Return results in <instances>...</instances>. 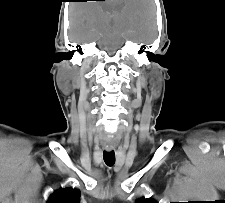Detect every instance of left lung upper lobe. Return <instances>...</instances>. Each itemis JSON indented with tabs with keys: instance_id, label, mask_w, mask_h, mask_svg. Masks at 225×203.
<instances>
[{
	"instance_id": "left-lung-upper-lobe-1",
	"label": "left lung upper lobe",
	"mask_w": 225,
	"mask_h": 203,
	"mask_svg": "<svg viewBox=\"0 0 225 203\" xmlns=\"http://www.w3.org/2000/svg\"><path fill=\"white\" fill-rule=\"evenodd\" d=\"M136 203H157V202L150 198H140L136 201Z\"/></svg>"
}]
</instances>
